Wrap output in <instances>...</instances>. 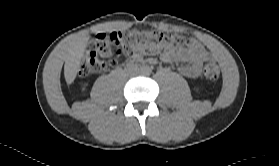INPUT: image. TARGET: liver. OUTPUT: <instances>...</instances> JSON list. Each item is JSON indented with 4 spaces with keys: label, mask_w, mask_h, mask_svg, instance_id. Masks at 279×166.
I'll return each instance as SVG.
<instances>
[{
    "label": "liver",
    "mask_w": 279,
    "mask_h": 166,
    "mask_svg": "<svg viewBox=\"0 0 279 166\" xmlns=\"http://www.w3.org/2000/svg\"><path fill=\"white\" fill-rule=\"evenodd\" d=\"M89 38L83 36L76 39L68 50L64 64V76L68 85L72 84L77 76Z\"/></svg>",
    "instance_id": "obj_1"
}]
</instances>
